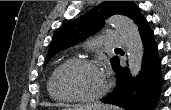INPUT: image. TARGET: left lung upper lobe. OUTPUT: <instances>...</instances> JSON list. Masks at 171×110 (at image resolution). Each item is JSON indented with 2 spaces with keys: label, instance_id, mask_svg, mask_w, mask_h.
I'll list each match as a JSON object with an SVG mask.
<instances>
[{
  "label": "left lung upper lobe",
  "instance_id": "left-lung-upper-lobe-1",
  "mask_svg": "<svg viewBox=\"0 0 171 110\" xmlns=\"http://www.w3.org/2000/svg\"><path fill=\"white\" fill-rule=\"evenodd\" d=\"M99 8H101L100 13L97 12ZM114 14L126 15L136 24L143 18L139 7L136 6L133 1H104L100 6L64 24L56 31L50 43L44 65H46L56 53L74 46L97 32L102 28L104 20ZM118 63L119 59L117 57L111 60V65L114 70Z\"/></svg>",
  "mask_w": 171,
  "mask_h": 110
}]
</instances>
